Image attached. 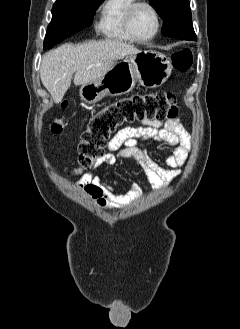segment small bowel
<instances>
[{"mask_svg": "<svg viewBox=\"0 0 240 329\" xmlns=\"http://www.w3.org/2000/svg\"><path fill=\"white\" fill-rule=\"evenodd\" d=\"M144 142H155L164 147L167 167L148 153ZM190 143L191 136L182 118L165 122L145 120L139 126L118 131L108 143L109 152L97 159L96 166H112L119 159H131L141 168L152 189L158 191L179 175L175 169L184 164ZM75 187L90 196L100 208H122L135 201L141 190L137 183H132L126 193L118 194L93 172L87 173Z\"/></svg>", "mask_w": 240, "mask_h": 329, "instance_id": "small-bowel-1", "label": "small bowel"}]
</instances>
